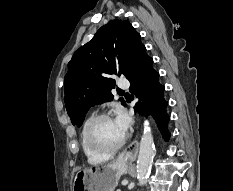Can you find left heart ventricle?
Returning <instances> with one entry per match:
<instances>
[{"mask_svg": "<svg viewBox=\"0 0 233 191\" xmlns=\"http://www.w3.org/2000/svg\"><path fill=\"white\" fill-rule=\"evenodd\" d=\"M123 137L124 135L114 119H105L100 121L93 131L94 143L104 149L114 147L122 140Z\"/></svg>", "mask_w": 233, "mask_h": 191, "instance_id": "1", "label": "left heart ventricle"}]
</instances>
